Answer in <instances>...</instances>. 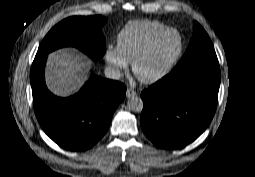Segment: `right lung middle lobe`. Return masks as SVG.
<instances>
[{"mask_svg": "<svg viewBox=\"0 0 255 177\" xmlns=\"http://www.w3.org/2000/svg\"><path fill=\"white\" fill-rule=\"evenodd\" d=\"M107 19L98 16L69 17L53 27L39 46L37 57L64 46H75L92 59L105 53V38L101 28Z\"/></svg>", "mask_w": 255, "mask_h": 177, "instance_id": "1", "label": "right lung middle lobe"}]
</instances>
